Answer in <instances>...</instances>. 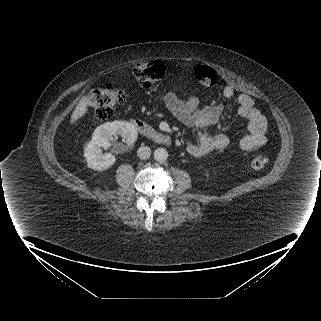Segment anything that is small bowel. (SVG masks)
<instances>
[{"mask_svg": "<svg viewBox=\"0 0 321 321\" xmlns=\"http://www.w3.org/2000/svg\"><path fill=\"white\" fill-rule=\"evenodd\" d=\"M224 96L230 100L236 99L238 114L248 124L249 134L244 136L239 143L241 150L248 153L259 150L267 141L268 123L265 116L258 110L249 95L236 94L233 87H226ZM160 101L181 123L195 129L198 140L187 145L190 155L201 157L227 148L228 137L214 131L223 112L222 105L201 107L195 97L179 100L172 93L164 94Z\"/></svg>", "mask_w": 321, "mask_h": 321, "instance_id": "obj_1", "label": "small bowel"}]
</instances>
